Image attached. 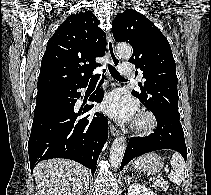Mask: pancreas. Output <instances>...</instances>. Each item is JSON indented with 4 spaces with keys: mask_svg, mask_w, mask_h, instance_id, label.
I'll return each instance as SVG.
<instances>
[{
    "mask_svg": "<svg viewBox=\"0 0 211 195\" xmlns=\"http://www.w3.org/2000/svg\"><path fill=\"white\" fill-rule=\"evenodd\" d=\"M157 186L160 187L162 190H167L168 189V183L165 182V181L159 182V184Z\"/></svg>",
    "mask_w": 211,
    "mask_h": 195,
    "instance_id": "1",
    "label": "pancreas"
}]
</instances>
